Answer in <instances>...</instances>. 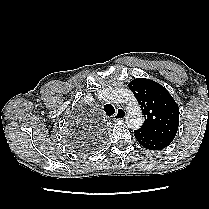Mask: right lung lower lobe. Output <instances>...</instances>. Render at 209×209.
<instances>
[{
    "label": "right lung lower lobe",
    "instance_id": "obj_1",
    "mask_svg": "<svg viewBox=\"0 0 209 209\" xmlns=\"http://www.w3.org/2000/svg\"><path fill=\"white\" fill-rule=\"evenodd\" d=\"M99 141H91L89 143H78V145L76 146V148L80 151H86V150H91L96 148L99 145Z\"/></svg>",
    "mask_w": 209,
    "mask_h": 209
}]
</instances>
